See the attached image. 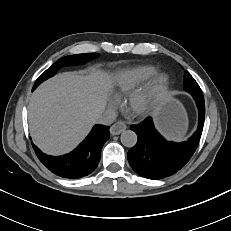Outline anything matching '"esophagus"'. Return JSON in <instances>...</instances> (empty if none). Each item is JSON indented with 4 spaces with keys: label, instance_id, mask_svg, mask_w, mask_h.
Segmentation results:
<instances>
[{
    "label": "esophagus",
    "instance_id": "34e87169",
    "mask_svg": "<svg viewBox=\"0 0 231 231\" xmlns=\"http://www.w3.org/2000/svg\"><path fill=\"white\" fill-rule=\"evenodd\" d=\"M126 124L122 121H118L110 127V133L112 135H119L126 129Z\"/></svg>",
    "mask_w": 231,
    "mask_h": 231
}]
</instances>
